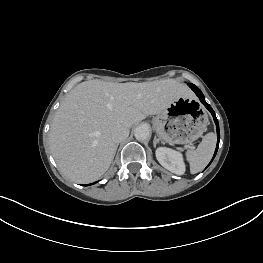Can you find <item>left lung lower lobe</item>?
Segmentation results:
<instances>
[{"label":"left lung lower lobe","mask_w":263,"mask_h":263,"mask_svg":"<svg viewBox=\"0 0 263 263\" xmlns=\"http://www.w3.org/2000/svg\"><path fill=\"white\" fill-rule=\"evenodd\" d=\"M189 87L196 93V95L199 97L200 101L204 104V106L211 112L213 118H214V121H215V124H216V129H217V136H218V141H217V146H216V150H215V153H214V156L211 160V162L213 161L216 153H217V150H218V147H219V140H220V132H219V124H218V120L216 118V115H215V112L213 111V109L211 108V106L205 101V98H204V95L202 94V92L200 91V89L198 87H196L194 84H188ZM210 162V163H211ZM209 163V165H210Z\"/></svg>","instance_id":"1"}]
</instances>
